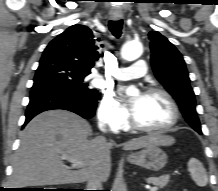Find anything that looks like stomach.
Wrapping results in <instances>:
<instances>
[{"label": "stomach", "mask_w": 218, "mask_h": 191, "mask_svg": "<svg viewBox=\"0 0 218 191\" xmlns=\"http://www.w3.org/2000/svg\"><path fill=\"white\" fill-rule=\"evenodd\" d=\"M167 160V154L156 144L148 145L128 158L130 163L155 172L161 170Z\"/></svg>", "instance_id": "obj_1"}]
</instances>
